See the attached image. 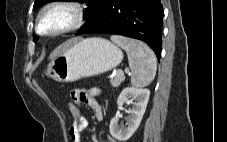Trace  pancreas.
Instances as JSON below:
<instances>
[{
	"mask_svg": "<svg viewBox=\"0 0 227 142\" xmlns=\"http://www.w3.org/2000/svg\"><path fill=\"white\" fill-rule=\"evenodd\" d=\"M125 77L123 74H117L114 78L110 80L112 87H118L123 81Z\"/></svg>",
	"mask_w": 227,
	"mask_h": 142,
	"instance_id": "cf45deb5",
	"label": "pancreas"
}]
</instances>
